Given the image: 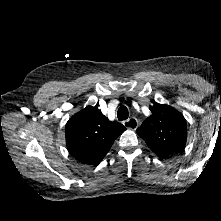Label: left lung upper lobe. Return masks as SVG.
Segmentation results:
<instances>
[{"label":"left lung upper lobe","mask_w":221,"mask_h":221,"mask_svg":"<svg viewBox=\"0 0 221 221\" xmlns=\"http://www.w3.org/2000/svg\"><path fill=\"white\" fill-rule=\"evenodd\" d=\"M151 115L137 129L149 148L159 157L180 152L186 143L187 126L184 116L169 105L150 106Z\"/></svg>","instance_id":"left-lung-upper-lobe-1"}]
</instances>
